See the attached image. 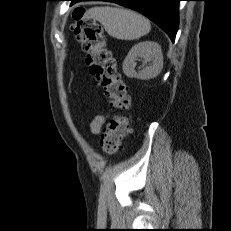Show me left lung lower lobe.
<instances>
[{
	"label": "left lung lower lobe",
	"mask_w": 231,
	"mask_h": 231,
	"mask_svg": "<svg viewBox=\"0 0 231 231\" xmlns=\"http://www.w3.org/2000/svg\"><path fill=\"white\" fill-rule=\"evenodd\" d=\"M71 4L80 1H107L136 10L159 27H161L174 42L178 29V3L181 0H68Z\"/></svg>",
	"instance_id": "1"
}]
</instances>
